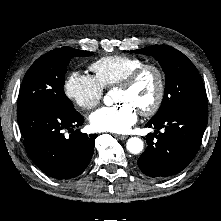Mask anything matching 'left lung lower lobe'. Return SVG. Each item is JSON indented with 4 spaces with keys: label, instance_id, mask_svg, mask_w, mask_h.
I'll return each instance as SVG.
<instances>
[{
    "label": "left lung lower lobe",
    "instance_id": "0a47b994",
    "mask_svg": "<svg viewBox=\"0 0 221 221\" xmlns=\"http://www.w3.org/2000/svg\"><path fill=\"white\" fill-rule=\"evenodd\" d=\"M207 120V101L192 102L163 118L150 120L146 126L157 130L146 136L148 147L137 161L141 171L154 178H165L182 171L201 145ZM162 128L164 131L159 133Z\"/></svg>",
    "mask_w": 221,
    "mask_h": 221
}]
</instances>
